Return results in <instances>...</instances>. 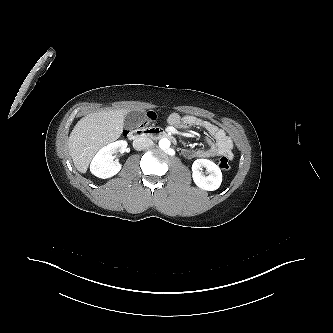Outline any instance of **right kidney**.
<instances>
[{"label": "right kidney", "instance_id": "right-kidney-1", "mask_svg": "<svg viewBox=\"0 0 333 333\" xmlns=\"http://www.w3.org/2000/svg\"><path fill=\"white\" fill-rule=\"evenodd\" d=\"M126 148L127 142L124 140H119L104 146L91 161V173L102 179L116 175L121 169V164L117 159L114 160V154L117 152H125Z\"/></svg>", "mask_w": 333, "mask_h": 333}]
</instances>
